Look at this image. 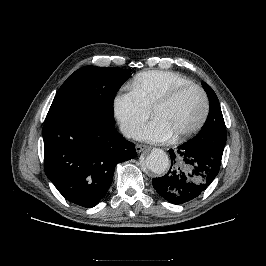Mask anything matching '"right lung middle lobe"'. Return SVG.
Segmentation results:
<instances>
[{"mask_svg":"<svg viewBox=\"0 0 266 266\" xmlns=\"http://www.w3.org/2000/svg\"><path fill=\"white\" fill-rule=\"evenodd\" d=\"M130 76L131 72L117 67H82L63 83L51 106L89 109L113 118L116 93Z\"/></svg>","mask_w":266,"mask_h":266,"instance_id":"obj_1","label":"right lung middle lobe"}]
</instances>
